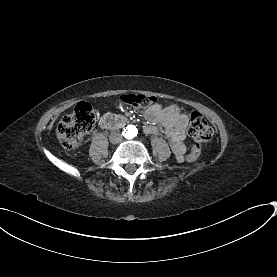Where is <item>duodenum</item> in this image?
Listing matches in <instances>:
<instances>
[{
	"label": "duodenum",
	"instance_id": "410a0bca",
	"mask_svg": "<svg viewBox=\"0 0 277 277\" xmlns=\"http://www.w3.org/2000/svg\"><path fill=\"white\" fill-rule=\"evenodd\" d=\"M127 118L122 116L106 115L100 120V127L103 129H118L126 126Z\"/></svg>",
	"mask_w": 277,
	"mask_h": 277
}]
</instances>
